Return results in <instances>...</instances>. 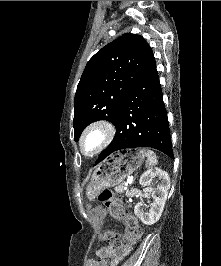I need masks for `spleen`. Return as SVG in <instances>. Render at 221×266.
I'll use <instances>...</instances> for the list:
<instances>
[{"label":"spleen","instance_id":"obj_1","mask_svg":"<svg viewBox=\"0 0 221 266\" xmlns=\"http://www.w3.org/2000/svg\"><path fill=\"white\" fill-rule=\"evenodd\" d=\"M143 152L145 153V156L147 157L146 167H152V166L157 165L158 163L157 157L153 151L147 150L146 152L145 151Z\"/></svg>","mask_w":221,"mask_h":266}]
</instances>
